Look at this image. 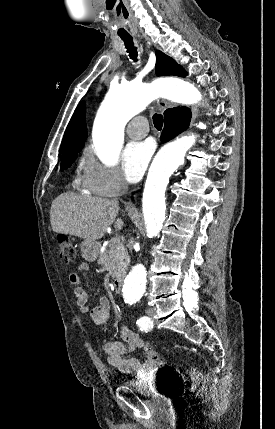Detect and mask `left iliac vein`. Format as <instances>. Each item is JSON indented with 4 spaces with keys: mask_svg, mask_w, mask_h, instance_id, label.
<instances>
[{
    "mask_svg": "<svg viewBox=\"0 0 275 429\" xmlns=\"http://www.w3.org/2000/svg\"><path fill=\"white\" fill-rule=\"evenodd\" d=\"M147 315H148V317H149L150 319H152V318L154 317V315H155V309H153V308H148V309H147Z\"/></svg>",
    "mask_w": 275,
    "mask_h": 429,
    "instance_id": "obj_1",
    "label": "left iliac vein"
}]
</instances>
